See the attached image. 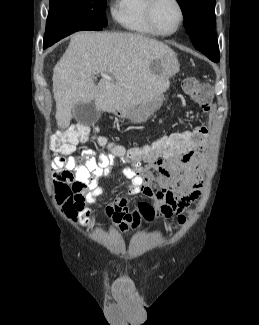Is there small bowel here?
I'll list each match as a JSON object with an SVG mask.
<instances>
[{
  "label": "small bowel",
  "instance_id": "c3829d8e",
  "mask_svg": "<svg viewBox=\"0 0 259 325\" xmlns=\"http://www.w3.org/2000/svg\"><path fill=\"white\" fill-rule=\"evenodd\" d=\"M199 143V149H173L148 160L133 159L125 150L97 154L91 148L81 156L55 157L51 174L57 198L68 217L79 215L83 226L91 225V212L85 204L94 203L106 191L107 185L101 179L111 180L112 170L119 162L122 174L131 184L125 196H117L108 205L106 214L120 232L129 233L140 220L137 209L129 207L130 197L146 196L155 202L161 217H170L199 196L205 139Z\"/></svg>",
  "mask_w": 259,
  "mask_h": 325
}]
</instances>
